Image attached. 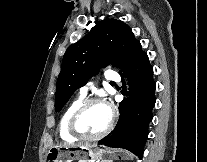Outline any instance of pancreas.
I'll return each mask as SVG.
<instances>
[{"instance_id": "obj_1", "label": "pancreas", "mask_w": 207, "mask_h": 162, "mask_svg": "<svg viewBox=\"0 0 207 162\" xmlns=\"http://www.w3.org/2000/svg\"><path fill=\"white\" fill-rule=\"evenodd\" d=\"M79 162H85V161H83V160H80Z\"/></svg>"}]
</instances>
